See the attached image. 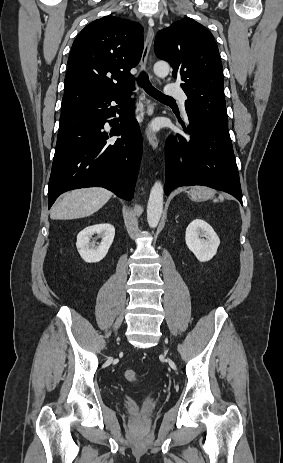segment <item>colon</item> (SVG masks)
I'll use <instances>...</instances> for the list:
<instances>
[{
    "instance_id": "obj_1",
    "label": "colon",
    "mask_w": 283,
    "mask_h": 463,
    "mask_svg": "<svg viewBox=\"0 0 283 463\" xmlns=\"http://www.w3.org/2000/svg\"><path fill=\"white\" fill-rule=\"evenodd\" d=\"M124 377L130 383H136L138 381V374L135 370H126L124 372Z\"/></svg>"
}]
</instances>
